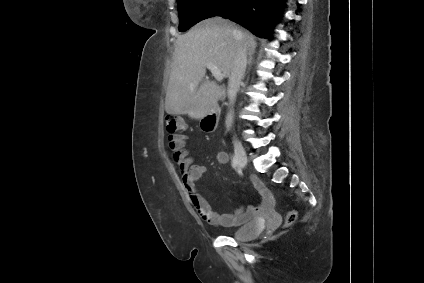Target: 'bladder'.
<instances>
[{"label": "bladder", "instance_id": "31cf9c89", "mask_svg": "<svg viewBox=\"0 0 424 283\" xmlns=\"http://www.w3.org/2000/svg\"><path fill=\"white\" fill-rule=\"evenodd\" d=\"M264 223L259 218H253L232 232V237L239 241H248L256 238L262 232Z\"/></svg>", "mask_w": 424, "mask_h": 283}]
</instances>
